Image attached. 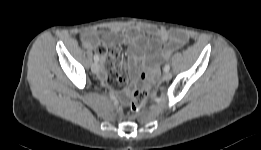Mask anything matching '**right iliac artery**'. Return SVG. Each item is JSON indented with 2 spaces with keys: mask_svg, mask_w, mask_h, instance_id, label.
Segmentation results:
<instances>
[{
  "mask_svg": "<svg viewBox=\"0 0 261 150\" xmlns=\"http://www.w3.org/2000/svg\"><path fill=\"white\" fill-rule=\"evenodd\" d=\"M94 60H95V62L99 61V56L97 54L94 55Z\"/></svg>",
  "mask_w": 261,
  "mask_h": 150,
  "instance_id": "obj_1",
  "label": "right iliac artery"
}]
</instances>
